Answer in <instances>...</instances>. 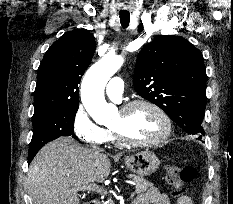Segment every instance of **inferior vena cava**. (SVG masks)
<instances>
[{
	"label": "inferior vena cava",
	"instance_id": "obj_1",
	"mask_svg": "<svg viewBox=\"0 0 233 204\" xmlns=\"http://www.w3.org/2000/svg\"><path fill=\"white\" fill-rule=\"evenodd\" d=\"M93 150H94L96 153H101V152H103L102 149H100L99 147H96V146L93 147Z\"/></svg>",
	"mask_w": 233,
	"mask_h": 204
}]
</instances>
